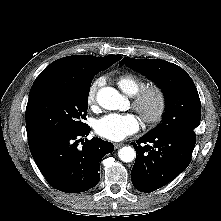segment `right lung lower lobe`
Segmentation results:
<instances>
[{
	"instance_id": "obj_1",
	"label": "right lung lower lobe",
	"mask_w": 221,
	"mask_h": 221,
	"mask_svg": "<svg viewBox=\"0 0 221 221\" xmlns=\"http://www.w3.org/2000/svg\"><path fill=\"white\" fill-rule=\"evenodd\" d=\"M90 127L69 133H52L29 141L31 154L49 184L66 193L87 191L97 185L101 158L114 150L100 138L82 140ZM79 142L83 145L78 146Z\"/></svg>"
}]
</instances>
